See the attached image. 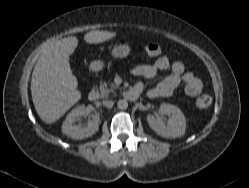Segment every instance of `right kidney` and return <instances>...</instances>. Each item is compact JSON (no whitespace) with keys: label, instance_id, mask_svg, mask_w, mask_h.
I'll list each match as a JSON object with an SVG mask.
<instances>
[{"label":"right kidney","instance_id":"1","mask_svg":"<svg viewBox=\"0 0 249 188\" xmlns=\"http://www.w3.org/2000/svg\"><path fill=\"white\" fill-rule=\"evenodd\" d=\"M86 114L87 109L84 105L74 108L63 122L62 132L73 139H85L95 134L99 128V115H95L84 127L81 124H74L77 117Z\"/></svg>","mask_w":249,"mask_h":188}]
</instances>
